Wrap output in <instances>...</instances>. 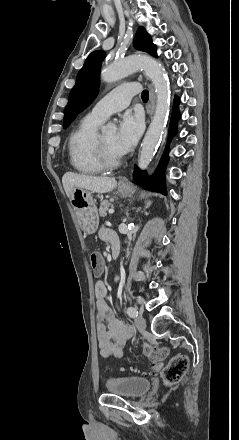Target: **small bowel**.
Wrapping results in <instances>:
<instances>
[{
    "label": "small bowel",
    "mask_w": 239,
    "mask_h": 440,
    "mask_svg": "<svg viewBox=\"0 0 239 440\" xmlns=\"http://www.w3.org/2000/svg\"><path fill=\"white\" fill-rule=\"evenodd\" d=\"M99 236L111 245L118 242L116 234L107 228H101ZM106 294L107 290L104 282L97 281L95 297L99 352L104 358H121L132 331L128 324L115 317L114 312L106 303Z\"/></svg>",
    "instance_id": "small-bowel-1"
}]
</instances>
